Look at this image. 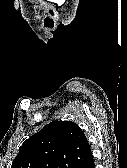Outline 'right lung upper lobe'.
Returning <instances> with one entry per match:
<instances>
[{"mask_svg": "<svg viewBox=\"0 0 127 168\" xmlns=\"http://www.w3.org/2000/svg\"><path fill=\"white\" fill-rule=\"evenodd\" d=\"M92 158L82 129L71 121H53L27 139L11 168H75Z\"/></svg>", "mask_w": 127, "mask_h": 168, "instance_id": "1", "label": "right lung upper lobe"}]
</instances>
